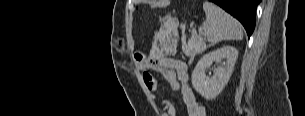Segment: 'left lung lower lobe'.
I'll list each match as a JSON object with an SVG mask.
<instances>
[{
    "instance_id": "left-lung-lower-lobe-1",
    "label": "left lung lower lobe",
    "mask_w": 305,
    "mask_h": 116,
    "mask_svg": "<svg viewBox=\"0 0 305 116\" xmlns=\"http://www.w3.org/2000/svg\"><path fill=\"white\" fill-rule=\"evenodd\" d=\"M238 19L250 37L255 27V11L261 0H210Z\"/></svg>"
}]
</instances>
